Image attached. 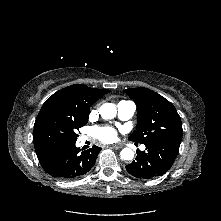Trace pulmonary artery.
<instances>
[{"mask_svg":"<svg viewBox=\"0 0 221 221\" xmlns=\"http://www.w3.org/2000/svg\"><path fill=\"white\" fill-rule=\"evenodd\" d=\"M135 111H136V105L132 101H120L117 104V113H118V117L121 120L130 119L134 115ZM84 139L85 138H83V140ZM140 148L141 150H144L145 146L142 145Z\"/></svg>","mask_w":221,"mask_h":221,"instance_id":"obj_1","label":"pulmonary artery"}]
</instances>
